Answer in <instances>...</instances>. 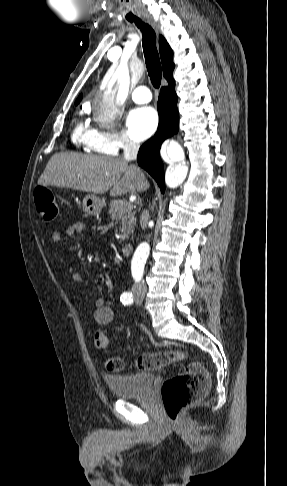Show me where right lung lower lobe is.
<instances>
[{
  "label": "right lung lower lobe",
  "instance_id": "98d812e1",
  "mask_svg": "<svg viewBox=\"0 0 287 486\" xmlns=\"http://www.w3.org/2000/svg\"><path fill=\"white\" fill-rule=\"evenodd\" d=\"M175 82H168L161 88L158 98L159 126L153 138L144 143L137 156L139 166L145 169L157 182L162 192L165 190L164 169L159 155L162 142L178 131L179 114Z\"/></svg>",
  "mask_w": 287,
  "mask_h": 486
}]
</instances>
